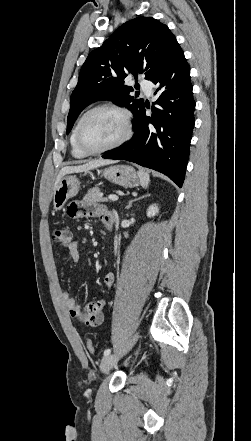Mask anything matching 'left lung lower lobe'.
Returning a JSON list of instances; mask_svg holds the SVG:
<instances>
[{
	"label": "left lung lower lobe",
	"instance_id": "obj_1",
	"mask_svg": "<svg viewBox=\"0 0 251 441\" xmlns=\"http://www.w3.org/2000/svg\"><path fill=\"white\" fill-rule=\"evenodd\" d=\"M150 81L158 86L152 115L146 116L147 105L143 104L134 116L133 137L102 157L154 169L182 187L195 124V101L190 67L178 43Z\"/></svg>",
	"mask_w": 251,
	"mask_h": 441
}]
</instances>
